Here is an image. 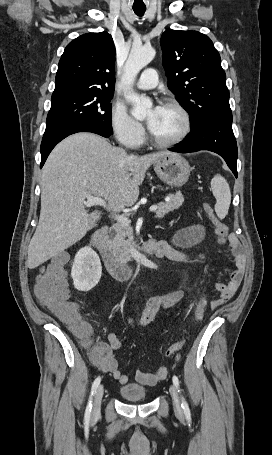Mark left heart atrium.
I'll return each mask as SVG.
<instances>
[{
	"instance_id": "obj_1",
	"label": "left heart atrium",
	"mask_w": 272,
	"mask_h": 455,
	"mask_svg": "<svg viewBox=\"0 0 272 455\" xmlns=\"http://www.w3.org/2000/svg\"><path fill=\"white\" fill-rule=\"evenodd\" d=\"M160 109H161V106H155L152 109V113H151L150 117L147 119V126L150 130H152L154 128L156 118L160 112Z\"/></svg>"
}]
</instances>
